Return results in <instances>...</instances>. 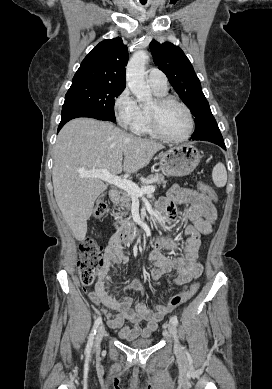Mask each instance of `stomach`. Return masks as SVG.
Returning <instances> with one entry per match:
<instances>
[{
    "instance_id": "0dacf381",
    "label": "stomach",
    "mask_w": 272,
    "mask_h": 389,
    "mask_svg": "<svg viewBox=\"0 0 272 389\" xmlns=\"http://www.w3.org/2000/svg\"><path fill=\"white\" fill-rule=\"evenodd\" d=\"M201 160L199 151L192 145L175 146L160 154V169L168 176L189 175Z\"/></svg>"
}]
</instances>
